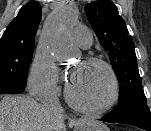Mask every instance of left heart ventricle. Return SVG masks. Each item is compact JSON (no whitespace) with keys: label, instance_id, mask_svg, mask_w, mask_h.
I'll return each mask as SVG.
<instances>
[{"label":"left heart ventricle","instance_id":"left-heart-ventricle-1","mask_svg":"<svg viewBox=\"0 0 151 131\" xmlns=\"http://www.w3.org/2000/svg\"><path fill=\"white\" fill-rule=\"evenodd\" d=\"M69 87L72 95L80 102L98 106L104 103L111 91V82L108 73L98 65H75Z\"/></svg>","mask_w":151,"mask_h":131}]
</instances>
